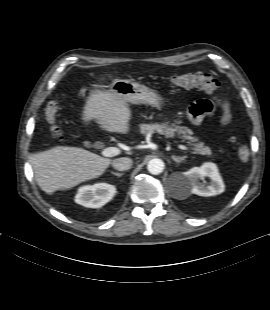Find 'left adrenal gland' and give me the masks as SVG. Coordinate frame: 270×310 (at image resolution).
Returning <instances> with one entry per match:
<instances>
[{"label": "left adrenal gland", "mask_w": 270, "mask_h": 310, "mask_svg": "<svg viewBox=\"0 0 270 310\" xmlns=\"http://www.w3.org/2000/svg\"><path fill=\"white\" fill-rule=\"evenodd\" d=\"M187 158V156H175L172 155V159L176 162V163H181L182 161H184Z\"/></svg>", "instance_id": "a2214340"}]
</instances>
